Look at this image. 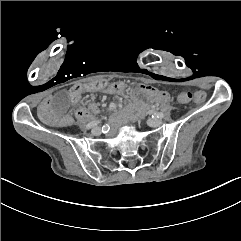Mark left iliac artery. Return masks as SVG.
I'll use <instances>...</instances> for the list:
<instances>
[{
  "mask_svg": "<svg viewBox=\"0 0 241 241\" xmlns=\"http://www.w3.org/2000/svg\"><path fill=\"white\" fill-rule=\"evenodd\" d=\"M156 117H157V118H163V117H164V114H163V113H157V114H156Z\"/></svg>",
  "mask_w": 241,
  "mask_h": 241,
  "instance_id": "left-iliac-artery-1",
  "label": "left iliac artery"
}]
</instances>
